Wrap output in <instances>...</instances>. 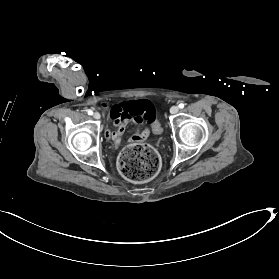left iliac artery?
I'll use <instances>...</instances> for the list:
<instances>
[{"instance_id": "1", "label": "left iliac artery", "mask_w": 279, "mask_h": 279, "mask_svg": "<svg viewBox=\"0 0 279 279\" xmlns=\"http://www.w3.org/2000/svg\"><path fill=\"white\" fill-rule=\"evenodd\" d=\"M179 108H181V109L184 108V104H183V103H180V104H179Z\"/></svg>"}]
</instances>
